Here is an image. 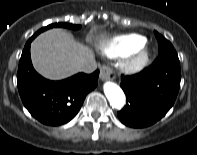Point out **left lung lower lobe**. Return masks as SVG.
Listing matches in <instances>:
<instances>
[{
    "mask_svg": "<svg viewBox=\"0 0 197 155\" xmlns=\"http://www.w3.org/2000/svg\"><path fill=\"white\" fill-rule=\"evenodd\" d=\"M181 80L180 62L175 57H157L141 72L121 77L127 103L119 111L123 124L147 127L160 120L173 106Z\"/></svg>",
    "mask_w": 197,
    "mask_h": 155,
    "instance_id": "1",
    "label": "left lung lower lobe"
}]
</instances>
